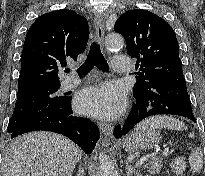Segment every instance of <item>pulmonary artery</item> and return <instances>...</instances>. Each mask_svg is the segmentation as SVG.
<instances>
[{
	"label": "pulmonary artery",
	"instance_id": "1",
	"mask_svg": "<svg viewBox=\"0 0 205 176\" xmlns=\"http://www.w3.org/2000/svg\"><path fill=\"white\" fill-rule=\"evenodd\" d=\"M131 68L130 56L123 54L114 57L113 69L116 72H127ZM81 83V79L78 77H68L63 82L64 89H72Z\"/></svg>",
	"mask_w": 205,
	"mask_h": 176
}]
</instances>
